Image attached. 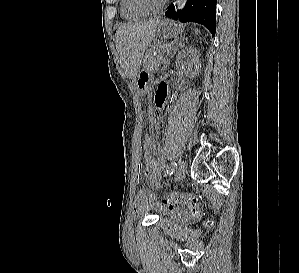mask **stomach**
I'll use <instances>...</instances> for the list:
<instances>
[{"mask_svg": "<svg viewBox=\"0 0 299 273\" xmlns=\"http://www.w3.org/2000/svg\"><path fill=\"white\" fill-rule=\"evenodd\" d=\"M179 31V28L177 25H175L173 22L169 20H163L160 21V23L157 26V33L161 37L164 38H170L175 36ZM140 72L142 74H139L136 78V85L137 89L141 94H145L148 89V82L152 79L151 73L147 72V67H140Z\"/></svg>", "mask_w": 299, "mask_h": 273, "instance_id": "stomach-1", "label": "stomach"}]
</instances>
